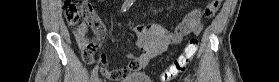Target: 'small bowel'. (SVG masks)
I'll return each mask as SVG.
<instances>
[{
    "label": "small bowel",
    "mask_w": 279,
    "mask_h": 82,
    "mask_svg": "<svg viewBox=\"0 0 279 82\" xmlns=\"http://www.w3.org/2000/svg\"><path fill=\"white\" fill-rule=\"evenodd\" d=\"M220 4H209L204 11L195 8L191 10L173 29H169L160 25H146L137 22H130L129 26L133 28L138 35V47L141 53L138 56L128 54L130 62L121 69L111 70L107 67V58L103 54L101 62L97 64L102 74L109 80L116 81L130 73L136 72L144 68L150 60L164 54L171 45L180 43L183 38L193 32L199 34L204 27L205 19L213 16L219 9ZM95 37L89 40L86 37V31L74 28L73 34L76 38L77 44L82 52L84 61L88 64H95L94 51L97 50L103 43L106 37V28L101 22L99 27L92 28ZM90 49L84 57V52ZM117 73L119 76H114Z\"/></svg>",
    "instance_id": "obj_1"
}]
</instances>
